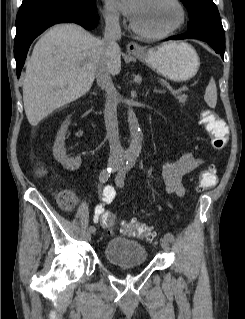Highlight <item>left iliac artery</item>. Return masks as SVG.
<instances>
[{
  "instance_id": "obj_1",
  "label": "left iliac artery",
  "mask_w": 245,
  "mask_h": 319,
  "mask_svg": "<svg viewBox=\"0 0 245 319\" xmlns=\"http://www.w3.org/2000/svg\"><path fill=\"white\" fill-rule=\"evenodd\" d=\"M134 164H135V160L133 158H130V159L127 160L126 165L124 166V168L120 171L119 180H120L121 186L124 185L125 176L133 168ZM164 237L167 238L169 242L174 241V236L171 233H166L164 235Z\"/></svg>"
}]
</instances>
